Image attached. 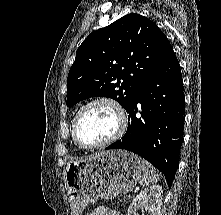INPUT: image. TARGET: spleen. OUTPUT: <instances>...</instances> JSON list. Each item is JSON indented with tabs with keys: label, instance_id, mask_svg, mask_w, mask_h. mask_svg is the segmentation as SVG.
<instances>
[{
	"label": "spleen",
	"instance_id": "obj_1",
	"mask_svg": "<svg viewBox=\"0 0 221 215\" xmlns=\"http://www.w3.org/2000/svg\"><path fill=\"white\" fill-rule=\"evenodd\" d=\"M142 164V178L140 180V184L142 186H147L149 184H154L159 181V175L156 172L155 168L151 164H149L146 160L141 159Z\"/></svg>",
	"mask_w": 221,
	"mask_h": 215
}]
</instances>
